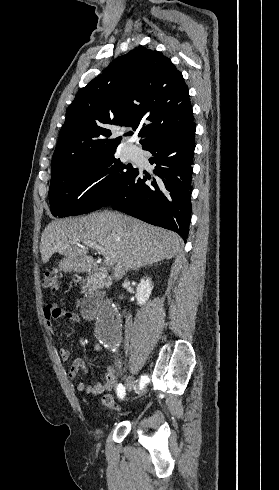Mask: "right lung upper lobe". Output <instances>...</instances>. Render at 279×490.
Returning <instances> with one entry per match:
<instances>
[{
    "label": "right lung upper lobe",
    "instance_id": "cb5924a9",
    "mask_svg": "<svg viewBox=\"0 0 279 490\" xmlns=\"http://www.w3.org/2000/svg\"><path fill=\"white\" fill-rule=\"evenodd\" d=\"M194 124L181 72L161 52L136 48L78 91L53 154L51 179L116 150L121 137L109 139V125L138 128L144 148Z\"/></svg>",
    "mask_w": 279,
    "mask_h": 490
}]
</instances>
